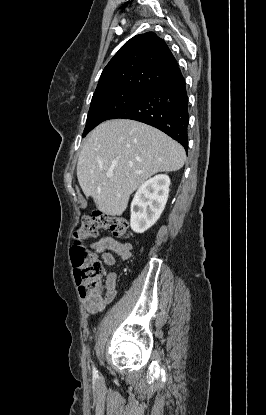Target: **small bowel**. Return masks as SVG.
Instances as JSON below:
<instances>
[{"label": "small bowel", "mask_w": 266, "mask_h": 415, "mask_svg": "<svg viewBox=\"0 0 266 415\" xmlns=\"http://www.w3.org/2000/svg\"><path fill=\"white\" fill-rule=\"evenodd\" d=\"M90 247L93 251L100 253L103 262L110 267L117 265V260L111 252L115 253L121 262L128 260L132 254L130 243H122L110 236L102 237L99 241L92 243ZM115 285L116 274L109 273L106 277L108 293L105 298H96L89 293L80 292L85 311L91 315L103 311L116 297Z\"/></svg>", "instance_id": "1"}]
</instances>
